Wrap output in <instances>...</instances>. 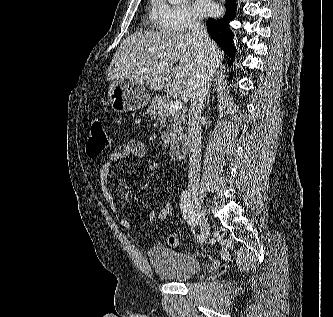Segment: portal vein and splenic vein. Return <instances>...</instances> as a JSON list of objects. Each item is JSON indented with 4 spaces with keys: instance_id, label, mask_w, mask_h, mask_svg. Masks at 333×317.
Returning <instances> with one entry per match:
<instances>
[{
    "instance_id": "portal-vein-and-splenic-vein-1",
    "label": "portal vein and splenic vein",
    "mask_w": 333,
    "mask_h": 317,
    "mask_svg": "<svg viewBox=\"0 0 333 317\" xmlns=\"http://www.w3.org/2000/svg\"><path fill=\"white\" fill-rule=\"evenodd\" d=\"M183 104L181 102V100H174V101H171L168 105V111L170 112H176L178 110H181Z\"/></svg>"
}]
</instances>
